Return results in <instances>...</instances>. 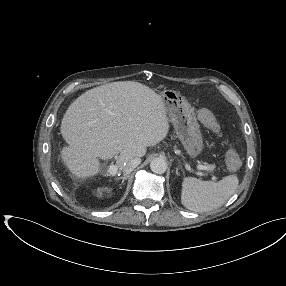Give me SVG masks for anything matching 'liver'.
<instances>
[{
	"label": "liver",
	"mask_w": 286,
	"mask_h": 286,
	"mask_svg": "<svg viewBox=\"0 0 286 286\" xmlns=\"http://www.w3.org/2000/svg\"><path fill=\"white\" fill-rule=\"evenodd\" d=\"M60 131L67 142L60 156L80 179L99 173L101 159H117V170L134 157H143L168 134L161 95L134 81H118L87 90L65 112Z\"/></svg>",
	"instance_id": "liver-1"
}]
</instances>
